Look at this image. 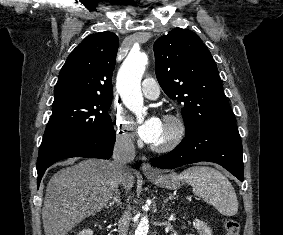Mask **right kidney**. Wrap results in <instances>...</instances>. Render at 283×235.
<instances>
[{"label": "right kidney", "mask_w": 283, "mask_h": 235, "mask_svg": "<svg viewBox=\"0 0 283 235\" xmlns=\"http://www.w3.org/2000/svg\"><path fill=\"white\" fill-rule=\"evenodd\" d=\"M78 235H93V231L91 229H85V230L79 232Z\"/></svg>", "instance_id": "ca27d5eb"}]
</instances>
